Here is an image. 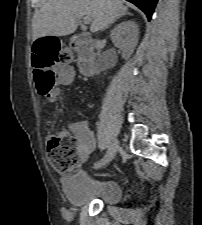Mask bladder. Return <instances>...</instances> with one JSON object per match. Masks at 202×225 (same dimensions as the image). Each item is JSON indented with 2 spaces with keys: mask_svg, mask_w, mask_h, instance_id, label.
Masks as SVG:
<instances>
[{
  "mask_svg": "<svg viewBox=\"0 0 202 225\" xmlns=\"http://www.w3.org/2000/svg\"><path fill=\"white\" fill-rule=\"evenodd\" d=\"M64 191L72 207H81L94 200L104 205L116 206L124 199L121 183L109 177H90L85 171H80L63 179Z\"/></svg>",
  "mask_w": 202,
  "mask_h": 225,
  "instance_id": "31cf9c89",
  "label": "bladder"
}]
</instances>
